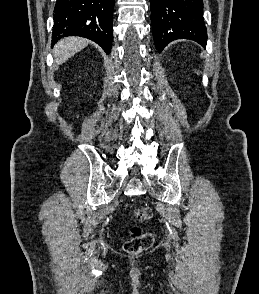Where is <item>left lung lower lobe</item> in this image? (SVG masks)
Masks as SVG:
<instances>
[{"mask_svg": "<svg viewBox=\"0 0 259 294\" xmlns=\"http://www.w3.org/2000/svg\"><path fill=\"white\" fill-rule=\"evenodd\" d=\"M150 6L153 38L160 52L177 39L206 45L202 0H150Z\"/></svg>", "mask_w": 259, "mask_h": 294, "instance_id": "obj_1", "label": "left lung lower lobe"}]
</instances>
